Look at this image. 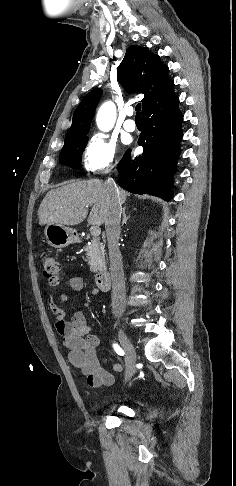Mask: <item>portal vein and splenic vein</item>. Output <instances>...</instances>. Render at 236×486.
Segmentation results:
<instances>
[{
	"instance_id": "obj_1",
	"label": "portal vein and splenic vein",
	"mask_w": 236,
	"mask_h": 486,
	"mask_svg": "<svg viewBox=\"0 0 236 486\" xmlns=\"http://www.w3.org/2000/svg\"><path fill=\"white\" fill-rule=\"evenodd\" d=\"M90 232H91L92 236L98 237L101 234V229H100L99 226L94 225V226L90 227Z\"/></svg>"
}]
</instances>
